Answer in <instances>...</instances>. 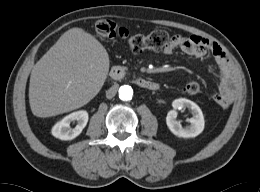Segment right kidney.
<instances>
[{
  "instance_id": "ca27d5eb",
  "label": "right kidney",
  "mask_w": 260,
  "mask_h": 192,
  "mask_svg": "<svg viewBox=\"0 0 260 192\" xmlns=\"http://www.w3.org/2000/svg\"><path fill=\"white\" fill-rule=\"evenodd\" d=\"M77 122V125L71 129L70 123ZM88 113L85 110L75 111L58 121L51 130L54 137L60 140H72L76 138L87 125Z\"/></svg>"
}]
</instances>
